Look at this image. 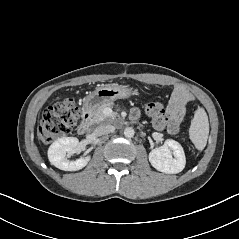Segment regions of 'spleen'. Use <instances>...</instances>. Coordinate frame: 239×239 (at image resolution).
Wrapping results in <instances>:
<instances>
[{"instance_id":"spleen-1","label":"spleen","mask_w":239,"mask_h":239,"mask_svg":"<svg viewBox=\"0 0 239 239\" xmlns=\"http://www.w3.org/2000/svg\"><path fill=\"white\" fill-rule=\"evenodd\" d=\"M209 135V122L205 110L198 107L195 111L189 129V136L195 147L202 151L206 144Z\"/></svg>"}]
</instances>
